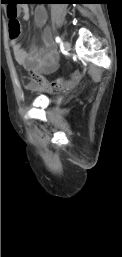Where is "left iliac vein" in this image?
<instances>
[{
	"label": "left iliac vein",
	"instance_id": "obj_1",
	"mask_svg": "<svg viewBox=\"0 0 122 257\" xmlns=\"http://www.w3.org/2000/svg\"><path fill=\"white\" fill-rule=\"evenodd\" d=\"M70 48H71V44H70V42L65 41V42H64V50H65V51H69V50H70Z\"/></svg>",
	"mask_w": 122,
	"mask_h": 257
}]
</instances>
